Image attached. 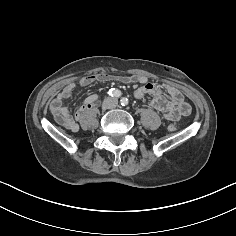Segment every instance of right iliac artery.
<instances>
[{
  "label": "right iliac artery",
  "mask_w": 236,
  "mask_h": 236,
  "mask_svg": "<svg viewBox=\"0 0 236 236\" xmlns=\"http://www.w3.org/2000/svg\"><path fill=\"white\" fill-rule=\"evenodd\" d=\"M108 94H109L111 97H114V98H119V97H121V91L118 90V89H115V88H111V89L108 91Z\"/></svg>",
  "instance_id": "obj_1"
}]
</instances>
